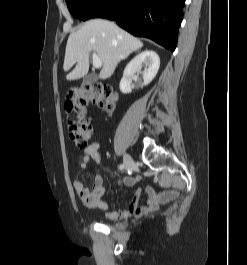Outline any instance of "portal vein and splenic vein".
<instances>
[{"mask_svg":"<svg viewBox=\"0 0 247 265\" xmlns=\"http://www.w3.org/2000/svg\"><path fill=\"white\" fill-rule=\"evenodd\" d=\"M93 67L95 68H101L102 67V61L98 57L96 53H93Z\"/></svg>","mask_w":247,"mask_h":265,"instance_id":"18ae733b","label":"portal vein and splenic vein"}]
</instances>
